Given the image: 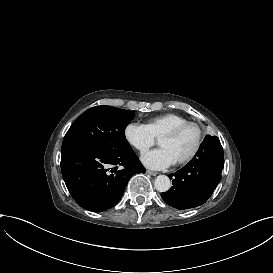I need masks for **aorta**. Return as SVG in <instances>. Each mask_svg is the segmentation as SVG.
<instances>
[{
  "mask_svg": "<svg viewBox=\"0 0 273 273\" xmlns=\"http://www.w3.org/2000/svg\"><path fill=\"white\" fill-rule=\"evenodd\" d=\"M155 189L159 192H167L171 187V181L166 175H159L155 178Z\"/></svg>",
  "mask_w": 273,
  "mask_h": 273,
  "instance_id": "obj_1",
  "label": "aorta"
}]
</instances>
